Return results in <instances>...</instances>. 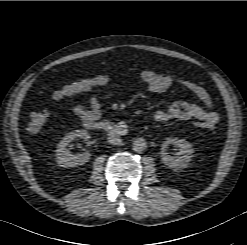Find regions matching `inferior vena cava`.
Wrapping results in <instances>:
<instances>
[{"instance_id":"1","label":"inferior vena cava","mask_w":247,"mask_h":245,"mask_svg":"<svg viewBox=\"0 0 247 245\" xmlns=\"http://www.w3.org/2000/svg\"><path fill=\"white\" fill-rule=\"evenodd\" d=\"M121 142L122 140L118 135L110 134L108 137V143L111 145H120Z\"/></svg>"}]
</instances>
